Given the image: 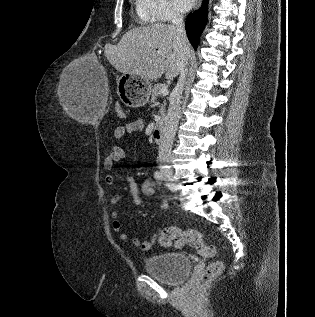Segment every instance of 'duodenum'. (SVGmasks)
Instances as JSON below:
<instances>
[{"instance_id": "1", "label": "duodenum", "mask_w": 315, "mask_h": 317, "mask_svg": "<svg viewBox=\"0 0 315 317\" xmlns=\"http://www.w3.org/2000/svg\"><path fill=\"white\" fill-rule=\"evenodd\" d=\"M164 138V125L162 122L157 123L153 131V139L156 143H161Z\"/></svg>"}]
</instances>
